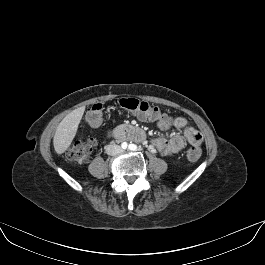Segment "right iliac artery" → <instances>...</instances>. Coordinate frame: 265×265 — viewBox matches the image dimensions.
<instances>
[{
	"instance_id": "obj_1",
	"label": "right iliac artery",
	"mask_w": 265,
	"mask_h": 265,
	"mask_svg": "<svg viewBox=\"0 0 265 265\" xmlns=\"http://www.w3.org/2000/svg\"><path fill=\"white\" fill-rule=\"evenodd\" d=\"M127 146H128L127 143H123V144H122V148H123V149H126Z\"/></svg>"
}]
</instances>
